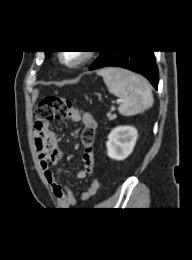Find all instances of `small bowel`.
<instances>
[{"mask_svg":"<svg viewBox=\"0 0 192 260\" xmlns=\"http://www.w3.org/2000/svg\"><path fill=\"white\" fill-rule=\"evenodd\" d=\"M74 122L82 121L86 127H91L94 131L97 128L95 119L89 113H78L69 117ZM35 147L39 156L41 168L44 176L50 184L52 191L62 208L76 206V199L68 185L61 183L52 170V166L59 163L62 158V151L58 146L56 134L51 130L48 123H36L34 128ZM84 167L77 173L78 179H86L94 174L95 158L94 153H84ZM99 188V181L93 179L85 191L81 192L82 201H88L93 197Z\"/></svg>","mask_w":192,"mask_h":260,"instance_id":"c3829d8e","label":"small bowel"}]
</instances>
